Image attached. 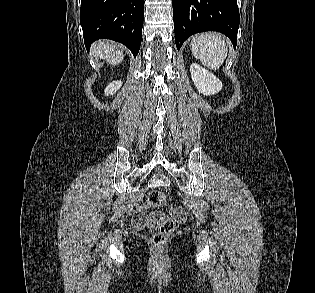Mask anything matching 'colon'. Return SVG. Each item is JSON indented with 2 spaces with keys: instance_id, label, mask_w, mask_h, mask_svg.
Segmentation results:
<instances>
[{
  "instance_id": "obj_1",
  "label": "colon",
  "mask_w": 315,
  "mask_h": 293,
  "mask_svg": "<svg viewBox=\"0 0 315 293\" xmlns=\"http://www.w3.org/2000/svg\"><path fill=\"white\" fill-rule=\"evenodd\" d=\"M148 201L154 206H162L166 202V196L163 192L153 191L149 194ZM185 218L186 214L182 209L173 208L172 217H164L158 222V232L152 237L153 245L161 246L166 243L177 225L183 222Z\"/></svg>"
}]
</instances>
